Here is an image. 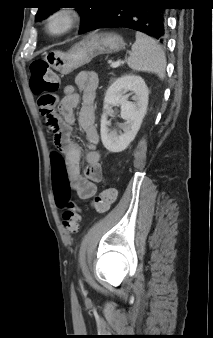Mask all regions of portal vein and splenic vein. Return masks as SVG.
Here are the masks:
<instances>
[{
	"instance_id": "obj_1",
	"label": "portal vein and splenic vein",
	"mask_w": 213,
	"mask_h": 338,
	"mask_svg": "<svg viewBox=\"0 0 213 338\" xmlns=\"http://www.w3.org/2000/svg\"><path fill=\"white\" fill-rule=\"evenodd\" d=\"M120 64H121V61L118 60V61H116V62H111L110 66H111L112 68H117Z\"/></svg>"
}]
</instances>
